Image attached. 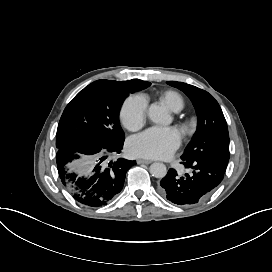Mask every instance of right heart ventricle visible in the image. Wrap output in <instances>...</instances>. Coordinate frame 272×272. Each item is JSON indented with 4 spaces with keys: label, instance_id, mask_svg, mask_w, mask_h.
<instances>
[{
    "label": "right heart ventricle",
    "instance_id": "obj_1",
    "mask_svg": "<svg viewBox=\"0 0 272 272\" xmlns=\"http://www.w3.org/2000/svg\"><path fill=\"white\" fill-rule=\"evenodd\" d=\"M162 99L174 111H179L183 107V100L176 92L167 91L163 94Z\"/></svg>",
    "mask_w": 272,
    "mask_h": 272
}]
</instances>
